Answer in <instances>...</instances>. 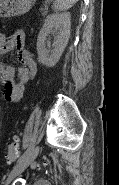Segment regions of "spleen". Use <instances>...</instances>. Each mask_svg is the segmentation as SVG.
Returning <instances> with one entry per match:
<instances>
[{
    "label": "spleen",
    "mask_w": 119,
    "mask_h": 185,
    "mask_svg": "<svg viewBox=\"0 0 119 185\" xmlns=\"http://www.w3.org/2000/svg\"><path fill=\"white\" fill-rule=\"evenodd\" d=\"M78 0H55L53 8L56 11H66L71 8Z\"/></svg>",
    "instance_id": "obj_1"
}]
</instances>
